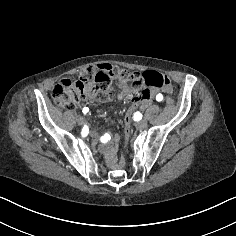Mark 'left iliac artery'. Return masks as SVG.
<instances>
[{"label": "left iliac artery", "instance_id": "obj_1", "mask_svg": "<svg viewBox=\"0 0 236 236\" xmlns=\"http://www.w3.org/2000/svg\"><path fill=\"white\" fill-rule=\"evenodd\" d=\"M156 100L159 102V101H162L163 100V95L162 94H158L157 96H156Z\"/></svg>", "mask_w": 236, "mask_h": 236}]
</instances>
